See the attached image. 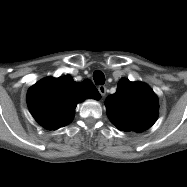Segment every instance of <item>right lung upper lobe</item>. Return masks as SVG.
<instances>
[{
    "label": "right lung upper lobe",
    "mask_w": 187,
    "mask_h": 187,
    "mask_svg": "<svg viewBox=\"0 0 187 187\" xmlns=\"http://www.w3.org/2000/svg\"><path fill=\"white\" fill-rule=\"evenodd\" d=\"M88 98H101L90 80L81 83L69 75L45 78L37 82L27 93V104L33 117L48 130L69 124L77 103Z\"/></svg>",
    "instance_id": "1"
}]
</instances>
